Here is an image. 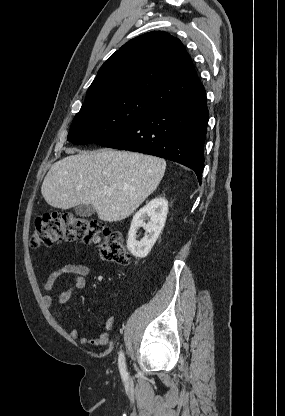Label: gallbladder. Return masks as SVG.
Returning a JSON list of instances; mask_svg holds the SVG:
<instances>
[{
	"mask_svg": "<svg viewBox=\"0 0 285 416\" xmlns=\"http://www.w3.org/2000/svg\"><path fill=\"white\" fill-rule=\"evenodd\" d=\"M76 216H81V218H89L92 214H95V208L93 206H85V204H81V206H77L75 208Z\"/></svg>",
	"mask_w": 285,
	"mask_h": 416,
	"instance_id": "obj_1",
	"label": "gallbladder"
}]
</instances>
